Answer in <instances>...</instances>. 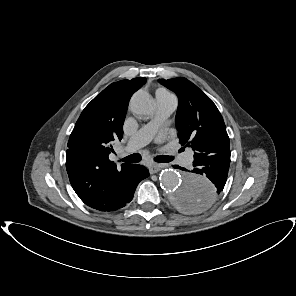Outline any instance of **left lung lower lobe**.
<instances>
[{
  "instance_id": "1",
  "label": "left lung lower lobe",
  "mask_w": 296,
  "mask_h": 296,
  "mask_svg": "<svg viewBox=\"0 0 296 296\" xmlns=\"http://www.w3.org/2000/svg\"><path fill=\"white\" fill-rule=\"evenodd\" d=\"M230 165V152L206 156L194 159L193 170L189 171L187 177L203 176L209 178L214 184V188L208 191H198L195 194L182 192V207L189 211H200L207 208L223 190ZM175 168L185 170L178 165Z\"/></svg>"
}]
</instances>
